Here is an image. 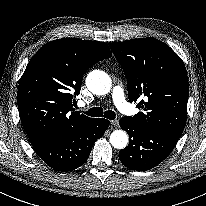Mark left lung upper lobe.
<instances>
[{
	"label": "left lung upper lobe",
	"mask_w": 206,
	"mask_h": 206,
	"mask_svg": "<svg viewBox=\"0 0 206 206\" xmlns=\"http://www.w3.org/2000/svg\"><path fill=\"white\" fill-rule=\"evenodd\" d=\"M122 66L130 102L143 98L141 111L128 117L146 129L180 137L187 119L189 85L180 57L154 39H130L109 44Z\"/></svg>",
	"instance_id": "obj_1"
}]
</instances>
